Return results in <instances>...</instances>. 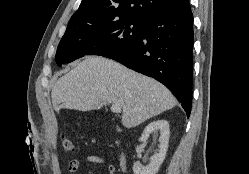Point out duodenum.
<instances>
[{"label": "duodenum", "mask_w": 249, "mask_h": 174, "mask_svg": "<svg viewBox=\"0 0 249 174\" xmlns=\"http://www.w3.org/2000/svg\"><path fill=\"white\" fill-rule=\"evenodd\" d=\"M119 163H120L121 169L125 171L126 170V160H125V157L123 155L120 156Z\"/></svg>", "instance_id": "1"}]
</instances>
